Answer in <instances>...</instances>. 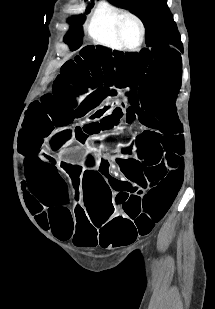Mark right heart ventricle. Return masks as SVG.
<instances>
[{"instance_id": "e07e8e85", "label": "right heart ventricle", "mask_w": 215, "mask_h": 309, "mask_svg": "<svg viewBox=\"0 0 215 309\" xmlns=\"http://www.w3.org/2000/svg\"><path fill=\"white\" fill-rule=\"evenodd\" d=\"M120 12L119 10H103L100 14H96V19L89 20L88 32L91 34V40L94 44L104 46L106 48H120L115 41L114 31L117 25L114 19H110L113 15Z\"/></svg>"}]
</instances>
